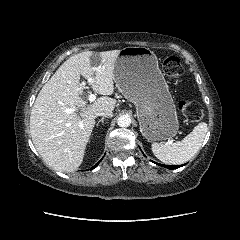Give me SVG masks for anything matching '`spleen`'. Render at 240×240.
<instances>
[{"label":"spleen","instance_id":"3e777b00","mask_svg":"<svg viewBox=\"0 0 240 240\" xmlns=\"http://www.w3.org/2000/svg\"><path fill=\"white\" fill-rule=\"evenodd\" d=\"M207 131V124L201 122L180 142L172 144L154 142L151 146L152 152L157 159L166 164H183L199 151Z\"/></svg>","mask_w":240,"mask_h":240}]
</instances>
